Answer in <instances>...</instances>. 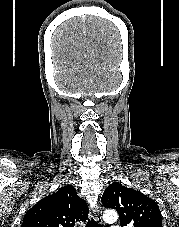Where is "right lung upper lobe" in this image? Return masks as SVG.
Listing matches in <instances>:
<instances>
[{"label":"right lung upper lobe","mask_w":179,"mask_h":227,"mask_svg":"<svg viewBox=\"0 0 179 227\" xmlns=\"http://www.w3.org/2000/svg\"><path fill=\"white\" fill-rule=\"evenodd\" d=\"M87 217L86 202L73 186L66 185L29 209L22 227H74L76 222L86 221Z\"/></svg>","instance_id":"cb5924a9"}]
</instances>
